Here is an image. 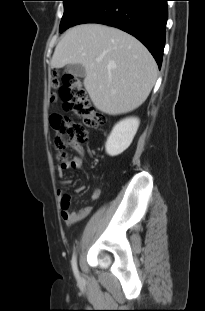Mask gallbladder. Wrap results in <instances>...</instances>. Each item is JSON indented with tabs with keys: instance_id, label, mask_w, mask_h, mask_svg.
Listing matches in <instances>:
<instances>
[{
	"instance_id": "obj_1",
	"label": "gallbladder",
	"mask_w": 205,
	"mask_h": 311,
	"mask_svg": "<svg viewBox=\"0 0 205 311\" xmlns=\"http://www.w3.org/2000/svg\"><path fill=\"white\" fill-rule=\"evenodd\" d=\"M65 71L75 77H84L86 74L85 68L81 64H69L66 66Z\"/></svg>"
}]
</instances>
